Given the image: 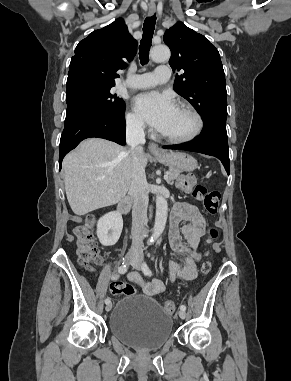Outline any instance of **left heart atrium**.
<instances>
[{"mask_svg": "<svg viewBox=\"0 0 291 381\" xmlns=\"http://www.w3.org/2000/svg\"><path fill=\"white\" fill-rule=\"evenodd\" d=\"M136 111L154 128L162 131L176 105L170 96L158 92L140 94L135 98Z\"/></svg>", "mask_w": 291, "mask_h": 381, "instance_id": "1", "label": "left heart atrium"}]
</instances>
